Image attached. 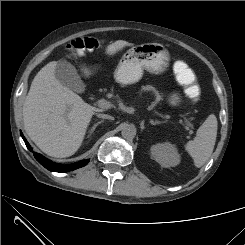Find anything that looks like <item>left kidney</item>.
Returning <instances> with one entry per match:
<instances>
[{"label":"left kidney","instance_id":"5707ae66","mask_svg":"<svg viewBox=\"0 0 245 245\" xmlns=\"http://www.w3.org/2000/svg\"><path fill=\"white\" fill-rule=\"evenodd\" d=\"M150 151L154 160L165 168L177 166L181 161L176 146L170 142L152 145Z\"/></svg>","mask_w":245,"mask_h":245}]
</instances>
